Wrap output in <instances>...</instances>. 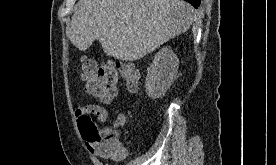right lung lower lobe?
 Wrapping results in <instances>:
<instances>
[{
	"label": "right lung lower lobe",
	"instance_id": "obj_1",
	"mask_svg": "<svg viewBox=\"0 0 276 165\" xmlns=\"http://www.w3.org/2000/svg\"><path fill=\"white\" fill-rule=\"evenodd\" d=\"M192 4L195 8H198L200 6L201 0H185Z\"/></svg>",
	"mask_w": 276,
	"mask_h": 165
}]
</instances>
